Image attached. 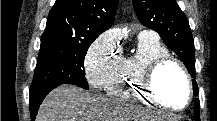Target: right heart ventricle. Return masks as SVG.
Wrapping results in <instances>:
<instances>
[{
    "mask_svg": "<svg viewBox=\"0 0 217 121\" xmlns=\"http://www.w3.org/2000/svg\"><path fill=\"white\" fill-rule=\"evenodd\" d=\"M164 55H168V51L158 39L138 38L137 53L121 59L105 86L107 94L121 101L152 102L142 89V76L152 61Z\"/></svg>",
    "mask_w": 217,
    "mask_h": 121,
    "instance_id": "right-heart-ventricle-1",
    "label": "right heart ventricle"
}]
</instances>
